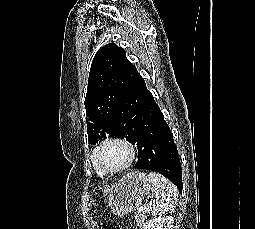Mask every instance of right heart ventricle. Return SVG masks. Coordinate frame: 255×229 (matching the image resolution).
<instances>
[{"instance_id": "right-heart-ventricle-1", "label": "right heart ventricle", "mask_w": 255, "mask_h": 229, "mask_svg": "<svg viewBox=\"0 0 255 229\" xmlns=\"http://www.w3.org/2000/svg\"><path fill=\"white\" fill-rule=\"evenodd\" d=\"M94 168H95L98 175H100V176H105L106 175V173L104 172V170L101 167H98V166L94 165Z\"/></svg>"}]
</instances>
